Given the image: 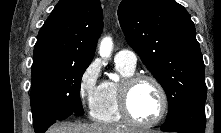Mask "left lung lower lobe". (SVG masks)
<instances>
[{"label": "left lung lower lobe", "instance_id": "0a47b994", "mask_svg": "<svg viewBox=\"0 0 221 133\" xmlns=\"http://www.w3.org/2000/svg\"><path fill=\"white\" fill-rule=\"evenodd\" d=\"M204 106L205 102H199L186 107L177 116L166 121L160 129L166 132L204 133L206 125Z\"/></svg>", "mask_w": 221, "mask_h": 133}]
</instances>
